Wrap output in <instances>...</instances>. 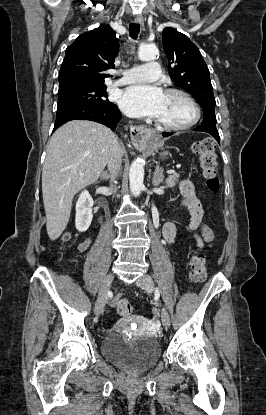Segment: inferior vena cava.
<instances>
[{
    "mask_svg": "<svg viewBox=\"0 0 266 415\" xmlns=\"http://www.w3.org/2000/svg\"><path fill=\"white\" fill-rule=\"evenodd\" d=\"M122 154H123V149L120 147L117 140H115L114 150L108 161V167H109L111 179H114L117 176L121 168Z\"/></svg>",
    "mask_w": 266,
    "mask_h": 415,
    "instance_id": "1",
    "label": "inferior vena cava"
}]
</instances>
